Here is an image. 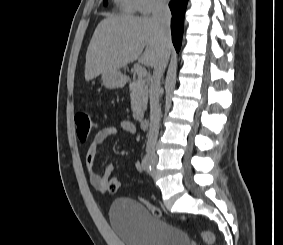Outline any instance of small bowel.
Wrapping results in <instances>:
<instances>
[{
	"label": "small bowel",
	"instance_id": "obj_1",
	"mask_svg": "<svg viewBox=\"0 0 283 245\" xmlns=\"http://www.w3.org/2000/svg\"><path fill=\"white\" fill-rule=\"evenodd\" d=\"M119 127L127 133H136V126L129 120H121L119 122ZM117 132L118 128L116 126H108L102 128L95 134L86 152L85 164L89 183L100 193L108 192V183L110 180V176L114 170V166L112 163H107L103 174L99 175L94 168L97 151L107 138L116 135ZM135 168L138 172H142V163L140 161H136Z\"/></svg>",
	"mask_w": 283,
	"mask_h": 245
}]
</instances>
